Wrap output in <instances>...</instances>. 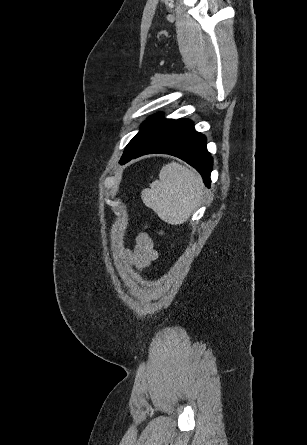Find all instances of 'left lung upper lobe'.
Returning <instances> with one entry per match:
<instances>
[{"label":"left lung upper lobe","mask_w":307,"mask_h":445,"mask_svg":"<svg viewBox=\"0 0 307 445\" xmlns=\"http://www.w3.org/2000/svg\"><path fill=\"white\" fill-rule=\"evenodd\" d=\"M173 120L164 119L161 115H154L148 118L142 124L141 130L133 137V139L127 145L123 156L120 160V164H124L127 158L133 154L146 140L158 133L163 128L171 124Z\"/></svg>","instance_id":"5c2ea615"}]
</instances>
